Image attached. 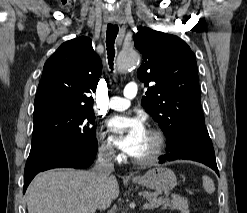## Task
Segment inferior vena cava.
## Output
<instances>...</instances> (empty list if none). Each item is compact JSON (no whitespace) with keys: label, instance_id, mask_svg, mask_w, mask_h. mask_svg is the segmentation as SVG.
<instances>
[{"label":"inferior vena cava","instance_id":"602c4592","mask_svg":"<svg viewBox=\"0 0 247 213\" xmlns=\"http://www.w3.org/2000/svg\"><path fill=\"white\" fill-rule=\"evenodd\" d=\"M114 150L110 146H102L99 149L98 159L93 171L101 180H108L110 174L114 171Z\"/></svg>","mask_w":247,"mask_h":213}]
</instances>
